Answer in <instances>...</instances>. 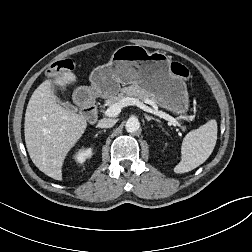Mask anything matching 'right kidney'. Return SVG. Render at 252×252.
<instances>
[{"mask_svg": "<svg viewBox=\"0 0 252 252\" xmlns=\"http://www.w3.org/2000/svg\"><path fill=\"white\" fill-rule=\"evenodd\" d=\"M92 155V150L89 148V149H86V150H79L76 155L74 156V159L78 162V163H83L85 162V160L87 158H90Z\"/></svg>", "mask_w": 252, "mask_h": 252, "instance_id": "obj_1", "label": "right kidney"}]
</instances>
